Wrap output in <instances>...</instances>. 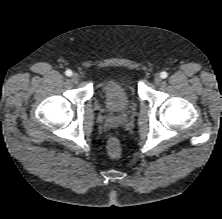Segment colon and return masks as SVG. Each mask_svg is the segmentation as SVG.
I'll return each mask as SVG.
<instances>
[{"mask_svg": "<svg viewBox=\"0 0 222 219\" xmlns=\"http://www.w3.org/2000/svg\"><path fill=\"white\" fill-rule=\"evenodd\" d=\"M107 153L111 158H118L122 152V145L120 140L113 136L110 137L106 145Z\"/></svg>", "mask_w": 222, "mask_h": 219, "instance_id": "colon-1", "label": "colon"}]
</instances>
